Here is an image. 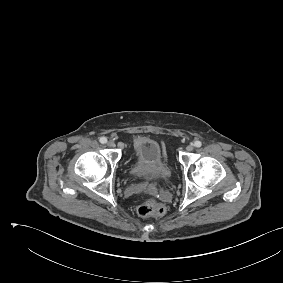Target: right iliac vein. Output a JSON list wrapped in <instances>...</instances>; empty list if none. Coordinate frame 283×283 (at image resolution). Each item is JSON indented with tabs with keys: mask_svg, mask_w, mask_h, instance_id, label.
<instances>
[{
	"mask_svg": "<svg viewBox=\"0 0 283 283\" xmlns=\"http://www.w3.org/2000/svg\"><path fill=\"white\" fill-rule=\"evenodd\" d=\"M107 146L113 148V147H115V142L110 140V141L107 142Z\"/></svg>",
	"mask_w": 283,
	"mask_h": 283,
	"instance_id": "1",
	"label": "right iliac vein"
}]
</instances>
